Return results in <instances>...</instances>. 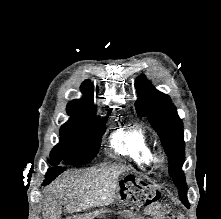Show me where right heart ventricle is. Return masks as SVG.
Masks as SVG:
<instances>
[{
  "label": "right heart ventricle",
  "mask_w": 221,
  "mask_h": 219,
  "mask_svg": "<svg viewBox=\"0 0 221 219\" xmlns=\"http://www.w3.org/2000/svg\"><path fill=\"white\" fill-rule=\"evenodd\" d=\"M111 144L115 152L128 157L139 168L151 167L154 148L144 126L135 124L115 133Z\"/></svg>",
  "instance_id": "right-heart-ventricle-1"
}]
</instances>
